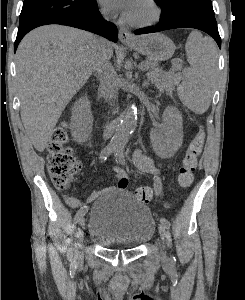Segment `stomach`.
Masks as SVG:
<instances>
[{
    "label": "stomach",
    "mask_w": 245,
    "mask_h": 300,
    "mask_svg": "<svg viewBox=\"0 0 245 300\" xmlns=\"http://www.w3.org/2000/svg\"><path fill=\"white\" fill-rule=\"evenodd\" d=\"M127 45L153 61L168 60L175 51L172 40L161 33L140 36L135 42Z\"/></svg>",
    "instance_id": "obj_1"
}]
</instances>
